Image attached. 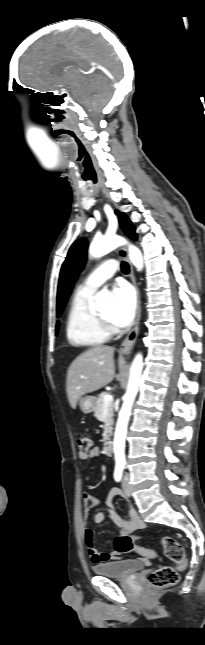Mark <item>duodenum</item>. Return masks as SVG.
<instances>
[{
    "label": "duodenum",
    "mask_w": 205,
    "mask_h": 645,
    "mask_svg": "<svg viewBox=\"0 0 205 645\" xmlns=\"http://www.w3.org/2000/svg\"><path fill=\"white\" fill-rule=\"evenodd\" d=\"M104 452L107 456H111L113 453V444L111 440H106L104 443Z\"/></svg>",
    "instance_id": "410a0bca"
}]
</instances>
